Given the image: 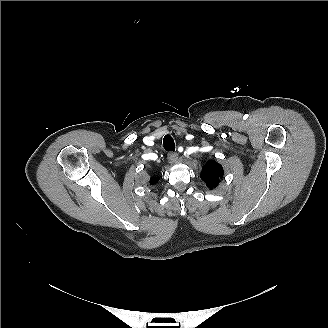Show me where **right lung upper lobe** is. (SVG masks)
<instances>
[{"instance_id": "cb5924a9", "label": "right lung upper lobe", "mask_w": 328, "mask_h": 328, "mask_svg": "<svg viewBox=\"0 0 328 328\" xmlns=\"http://www.w3.org/2000/svg\"><path fill=\"white\" fill-rule=\"evenodd\" d=\"M158 180H159L158 178H154V179L151 178V180H150V184H151V185H154L155 183L158 182Z\"/></svg>"}]
</instances>
